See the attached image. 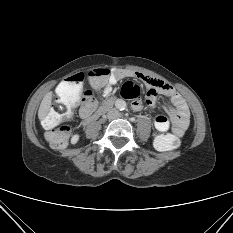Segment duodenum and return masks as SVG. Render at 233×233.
Listing matches in <instances>:
<instances>
[{
    "label": "duodenum",
    "instance_id": "410a0bca",
    "mask_svg": "<svg viewBox=\"0 0 233 233\" xmlns=\"http://www.w3.org/2000/svg\"><path fill=\"white\" fill-rule=\"evenodd\" d=\"M111 106V100H106L104 102V104L102 105V107L99 109V111L97 112V115H99L102 112H105L106 110H108Z\"/></svg>",
    "mask_w": 233,
    "mask_h": 233
}]
</instances>
